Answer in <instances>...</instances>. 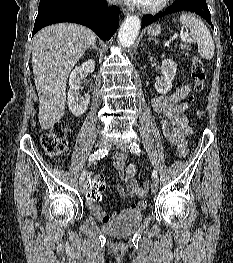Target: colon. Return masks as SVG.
Segmentation results:
<instances>
[{"mask_svg":"<svg viewBox=\"0 0 233 263\" xmlns=\"http://www.w3.org/2000/svg\"><path fill=\"white\" fill-rule=\"evenodd\" d=\"M191 78L194 82V93L190 96L189 100L193 101L196 94L203 91L205 85V69L203 62L198 57L192 58L191 64ZM68 125L64 121L56 122L49 131L43 133L40 137V143L45 153L51 157H59L66 149L67 146ZM187 149H183L179 155H186ZM95 173L91 175L89 180L88 190H84V195H87L88 202H100V196L105 189L104 178L100 175L101 169H96ZM145 194L148 192V183H144L142 187Z\"/></svg>","mask_w":233,"mask_h":263,"instance_id":"obj_1","label":"colon"}]
</instances>
